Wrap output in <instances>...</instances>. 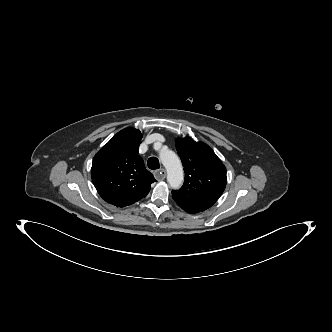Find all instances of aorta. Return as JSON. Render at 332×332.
I'll list each match as a JSON object with an SVG mask.
<instances>
[{
	"label": "aorta",
	"instance_id": "762f6f07",
	"mask_svg": "<svg viewBox=\"0 0 332 332\" xmlns=\"http://www.w3.org/2000/svg\"><path fill=\"white\" fill-rule=\"evenodd\" d=\"M160 161L167 170V181L173 189L179 188L184 180V172L180 159L169 149H163L159 153Z\"/></svg>",
	"mask_w": 332,
	"mask_h": 332
}]
</instances>
